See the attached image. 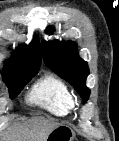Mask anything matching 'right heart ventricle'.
Masks as SVG:
<instances>
[{
    "label": "right heart ventricle",
    "mask_w": 119,
    "mask_h": 141,
    "mask_svg": "<svg viewBox=\"0 0 119 141\" xmlns=\"http://www.w3.org/2000/svg\"><path fill=\"white\" fill-rule=\"evenodd\" d=\"M29 100L58 117L68 115L75 104L66 82L54 74H47L34 84Z\"/></svg>",
    "instance_id": "e07e8e85"
}]
</instances>
